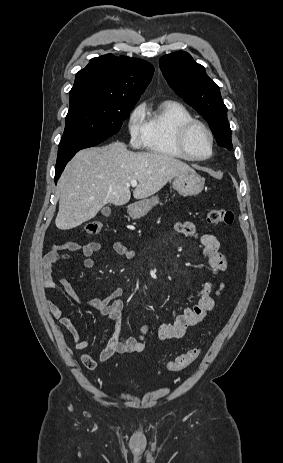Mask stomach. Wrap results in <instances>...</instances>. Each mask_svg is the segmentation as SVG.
Segmentation results:
<instances>
[{"instance_id": "1", "label": "stomach", "mask_w": 283, "mask_h": 463, "mask_svg": "<svg viewBox=\"0 0 283 463\" xmlns=\"http://www.w3.org/2000/svg\"><path fill=\"white\" fill-rule=\"evenodd\" d=\"M205 184V179L196 172H190L178 175L173 181V188L180 194L185 196H193L199 194ZM159 203L157 196L139 200L128 207V212L131 218L140 219L144 217L152 207Z\"/></svg>"}]
</instances>
